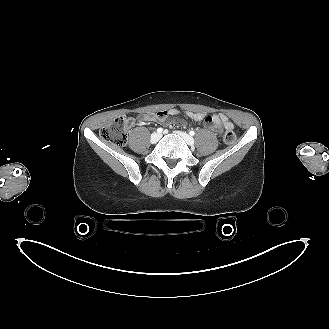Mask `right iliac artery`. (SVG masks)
<instances>
[{"label":"right iliac artery","instance_id":"82829eb1","mask_svg":"<svg viewBox=\"0 0 329 329\" xmlns=\"http://www.w3.org/2000/svg\"><path fill=\"white\" fill-rule=\"evenodd\" d=\"M162 131H163L162 128H158V129H157V132H158V133H161Z\"/></svg>","mask_w":329,"mask_h":329}]
</instances>
